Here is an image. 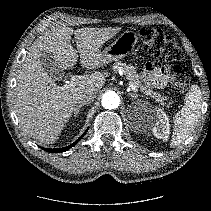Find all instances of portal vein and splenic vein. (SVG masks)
Wrapping results in <instances>:
<instances>
[{"label": "portal vein and splenic vein", "instance_id": "obj_1", "mask_svg": "<svg viewBox=\"0 0 211 211\" xmlns=\"http://www.w3.org/2000/svg\"><path fill=\"white\" fill-rule=\"evenodd\" d=\"M85 76H82V75H73L71 76V79H70V84H77L80 80L84 79ZM129 89L132 90L133 92H137V88L132 84V83H129Z\"/></svg>", "mask_w": 211, "mask_h": 211}]
</instances>
